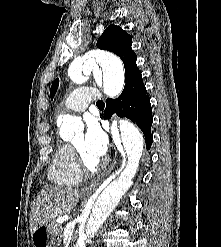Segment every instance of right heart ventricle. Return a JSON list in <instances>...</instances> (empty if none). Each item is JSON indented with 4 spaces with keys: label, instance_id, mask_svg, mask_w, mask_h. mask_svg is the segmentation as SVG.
I'll use <instances>...</instances> for the list:
<instances>
[{
    "label": "right heart ventricle",
    "instance_id": "e07e8e85",
    "mask_svg": "<svg viewBox=\"0 0 221 247\" xmlns=\"http://www.w3.org/2000/svg\"><path fill=\"white\" fill-rule=\"evenodd\" d=\"M82 176L71 145L58 141L48 169L50 181L59 186H74L80 183Z\"/></svg>",
    "mask_w": 221,
    "mask_h": 247
}]
</instances>
